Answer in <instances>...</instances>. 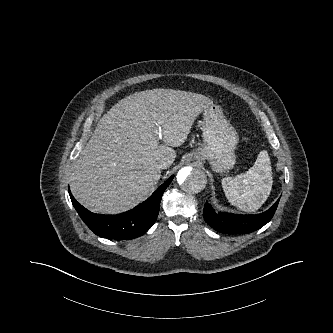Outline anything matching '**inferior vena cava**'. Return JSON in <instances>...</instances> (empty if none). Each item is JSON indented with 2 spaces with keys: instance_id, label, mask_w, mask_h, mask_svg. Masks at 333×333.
Returning <instances> with one entry per match:
<instances>
[{
  "instance_id": "obj_1",
  "label": "inferior vena cava",
  "mask_w": 333,
  "mask_h": 333,
  "mask_svg": "<svg viewBox=\"0 0 333 333\" xmlns=\"http://www.w3.org/2000/svg\"><path fill=\"white\" fill-rule=\"evenodd\" d=\"M156 166H157L158 169L161 170V169L168 168L169 164H168V162L166 160L160 159V160L157 161Z\"/></svg>"
}]
</instances>
